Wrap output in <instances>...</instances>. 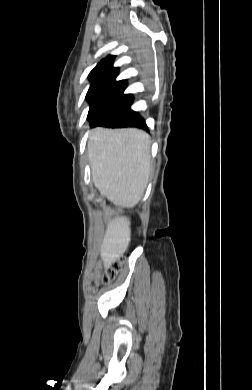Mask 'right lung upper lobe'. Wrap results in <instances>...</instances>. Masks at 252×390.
I'll return each instance as SVG.
<instances>
[{
    "instance_id": "1",
    "label": "right lung upper lobe",
    "mask_w": 252,
    "mask_h": 390,
    "mask_svg": "<svg viewBox=\"0 0 252 390\" xmlns=\"http://www.w3.org/2000/svg\"><path fill=\"white\" fill-rule=\"evenodd\" d=\"M115 56H107L90 72L92 81L86 95L90 104L100 101H132L131 94L124 95L127 86L125 80L115 81L118 68L112 67Z\"/></svg>"
}]
</instances>
